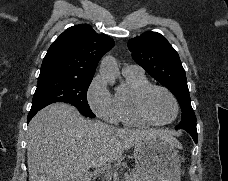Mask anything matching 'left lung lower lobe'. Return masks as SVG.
Segmentation results:
<instances>
[{
    "mask_svg": "<svg viewBox=\"0 0 228 181\" xmlns=\"http://www.w3.org/2000/svg\"><path fill=\"white\" fill-rule=\"evenodd\" d=\"M186 131L191 135L194 142L197 143V139H198L197 130H186Z\"/></svg>",
    "mask_w": 228,
    "mask_h": 181,
    "instance_id": "0a47b994",
    "label": "left lung lower lobe"
}]
</instances>
